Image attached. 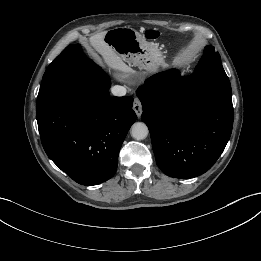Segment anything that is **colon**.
<instances>
[{
  "instance_id": "1",
  "label": "colon",
  "mask_w": 261,
  "mask_h": 261,
  "mask_svg": "<svg viewBox=\"0 0 261 261\" xmlns=\"http://www.w3.org/2000/svg\"><path fill=\"white\" fill-rule=\"evenodd\" d=\"M161 35L158 31H155V30H148L146 32V37L149 38V39H157L159 38Z\"/></svg>"
}]
</instances>
